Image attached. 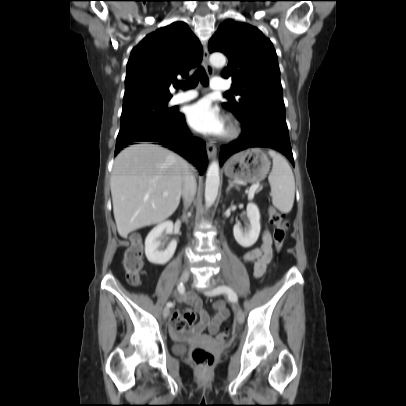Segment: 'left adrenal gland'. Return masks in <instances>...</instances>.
Masks as SVG:
<instances>
[{
  "label": "left adrenal gland",
  "instance_id": "left-adrenal-gland-1",
  "mask_svg": "<svg viewBox=\"0 0 406 406\" xmlns=\"http://www.w3.org/2000/svg\"><path fill=\"white\" fill-rule=\"evenodd\" d=\"M229 185L226 189V192H228L232 187L238 188V186L236 184H234L232 181H228Z\"/></svg>",
  "mask_w": 406,
  "mask_h": 406
}]
</instances>
